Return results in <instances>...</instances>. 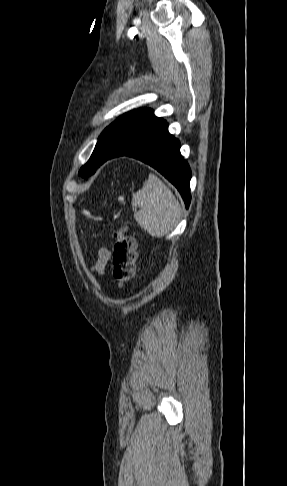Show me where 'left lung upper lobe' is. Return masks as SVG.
<instances>
[{"instance_id": "1", "label": "left lung upper lobe", "mask_w": 287, "mask_h": 486, "mask_svg": "<svg viewBox=\"0 0 287 486\" xmlns=\"http://www.w3.org/2000/svg\"><path fill=\"white\" fill-rule=\"evenodd\" d=\"M165 122L149 108L120 116L102 132L90 159L79 170V176L87 178L105 161L140 148Z\"/></svg>"}]
</instances>
